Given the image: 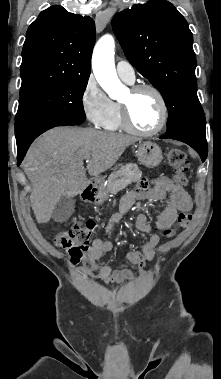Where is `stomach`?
Segmentation results:
<instances>
[{"label": "stomach", "instance_id": "obj_1", "mask_svg": "<svg viewBox=\"0 0 221 379\" xmlns=\"http://www.w3.org/2000/svg\"><path fill=\"white\" fill-rule=\"evenodd\" d=\"M138 160L141 164L148 168L158 166L163 160V155L160 147L151 141H145L139 144L137 149ZM104 188L100 187V198L106 197Z\"/></svg>", "mask_w": 221, "mask_h": 379}]
</instances>
